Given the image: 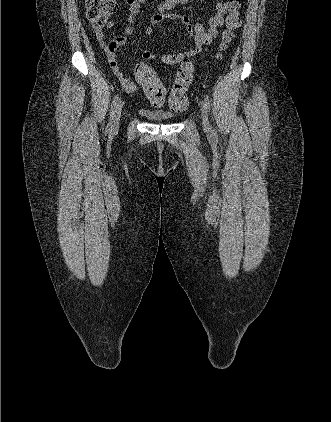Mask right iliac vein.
I'll return each instance as SVG.
<instances>
[{
    "instance_id": "63e3f726",
    "label": "right iliac vein",
    "mask_w": 331,
    "mask_h": 422,
    "mask_svg": "<svg viewBox=\"0 0 331 422\" xmlns=\"http://www.w3.org/2000/svg\"><path fill=\"white\" fill-rule=\"evenodd\" d=\"M122 108H123V103L120 101L115 108L114 117L112 120V130H116L119 127Z\"/></svg>"
}]
</instances>
